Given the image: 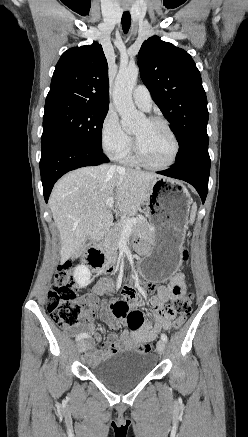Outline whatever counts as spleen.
I'll list each match as a JSON object with an SVG mask.
<instances>
[{
  "instance_id": "obj_1",
  "label": "spleen",
  "mask_w": 248,
  "mask_h": 437,
  "mask_svg": "<svg viewBox=\"0 0 248 437\" xmlns=\"http://www.w3.org/2000/svg\"><path fill=\"white\" fill-rule=\"evenodd\" d=\"M196 211H197V206L194 203L192 206V210H191V214H190V223L193 224L195 217H196Z\"/></svg>"
}]
</instances>
